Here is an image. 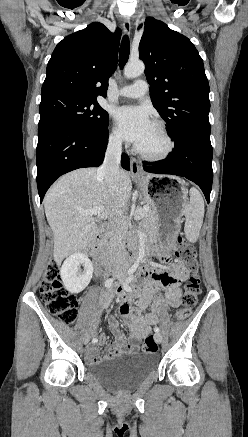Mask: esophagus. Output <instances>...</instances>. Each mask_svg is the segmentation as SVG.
Segmentation results:
<instances>
[{
    "label": "esophagus",
    "mask_w": 248,
    "mask_h": 437,
    "mask_svg": "<svg viewBox=\"0 0 248 437\" xmlns=\"http://www.w3.org/2000/svg\"><path fill=\"white\" fill-rule=\"evenodd\" d=\"M123 30H124V33L126 35H130V33H131V21L129 19H125L123 21ZM130 169H131V173L134 176H143L137 160L133 157L130 158Z\"/></svg>",
    "instance_id": "obj_1"
}]
</instances>
